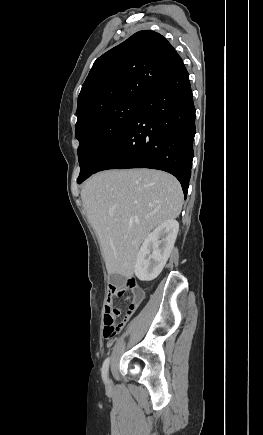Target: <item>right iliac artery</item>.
<instances>
[{
  "label": "right iliac artery",
  "instance_id": "right-iliac-artery-1",
  "mask_svg": "<svg viewBox=\"0 0 263 435\" xmlns=\"http://www.w3.org/2000/svg\"><path fill=\"white\" fill-rule=\"evenodd\" d=\"M109 362H110V358L108 357L105 361H104V363H103V366H102V369H101V372H102V378H103V381L106 383L107 382V380H108V368H109Z\"/></svg>",
  "mask_w": 263,
  "mask_h": 435
}]
</instances>
